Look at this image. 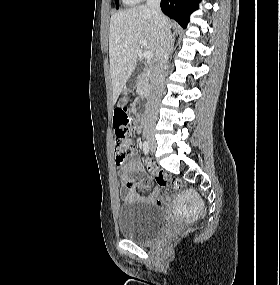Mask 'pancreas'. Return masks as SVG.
<instances>
[{"instance_id":"pancreas-1","label":"pancreas","mask_w":280,"mask_h":285,"mask_svg":"<svg viewBox=\"0 0 280 285\" xmlns=\"http://www.w3.org/2000/svg\"><path fill=\"white\" fill-rule=\"evenodd\" d=\"M150 88L149 77L147 74H143L140 76L137 85V93L139 95L145 94Z\"/></svg>"}]
</instances>
